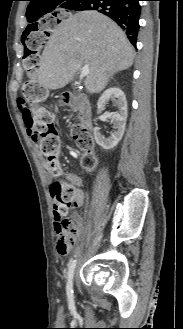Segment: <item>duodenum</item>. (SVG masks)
Listing matches in <instances>:
<instances>
[{
    "label": "duodenum",
    "instance_id": "obj_1",
    "mask_svg": "<svg viewBox=\"0 0 183 329\" xmlns=\"http://www.w3.org/2000/svg\"><path fill=\"white\" fill-rule=\"evenodd\" d=\"M59 100L64 105L77 110L83 126L91 131V105L83 94L63 92L60 93Z\"/></svg>",
    "mask_w": 183,
    "mask_h": 329
}]
</instances>
